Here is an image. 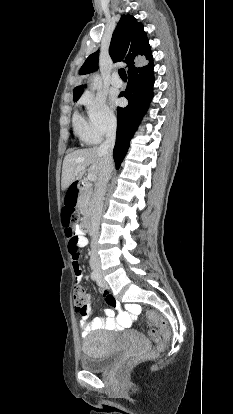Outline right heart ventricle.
<instances>
[{"label": "right heart ventricle", "mask_w": 233, "mask_h": 414, "mask_svg": "<svg viewBox=\"0 0 233 414\" xmlns=\"http://www.w3.org/2000/svg\"><path fill=\"white\" fill-rule=\"evenodd\" d=\"M73 127L75 134L87 142L88 125L85 119L79 113L74 114Z\"/></svg>", "instance_id": "e07e8e85"}]
</instances>
